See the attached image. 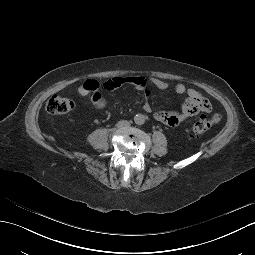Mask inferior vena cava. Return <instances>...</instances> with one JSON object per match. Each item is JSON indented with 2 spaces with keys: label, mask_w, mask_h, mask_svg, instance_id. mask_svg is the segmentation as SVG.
I'll return each instance as SVG.
<instances>
[{
  "label": "inferior vena cava",
  "mask_w": 255,
  "mask_h": 255,
  "mask_svg": "<svg viewBox=\"0 0 255 255\" xmlns=\"http://www.w3.org/2000/svg\"><path fill=\"white\" fill-rule=\"evenodd\" d=\"M120 126H129V122L127 120L119 121Z\"/></svg>",
  "instance_id": "obj_1"
}]
</instances>
